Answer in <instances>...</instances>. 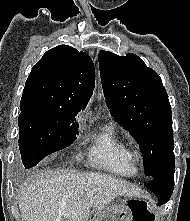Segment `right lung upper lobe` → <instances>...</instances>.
<instances>
[{
	"label": "right lung upper lobe",
	"mask_w": 190,
	"mask_h": 221,
	"mask_svg": "<svg viewBox=\"0 0 190 221\" xmlns=\"http://www.w3.org/2000/svg\"><path fill=\"white\" fill-rule=\"evenodd\" d=\"M95 70L87 53L68 45L47 51L32 68L21 98V111L50 110L78 114L94 89Z\"/></svg>",
	"instance_id": "right-lung-upper-lobe-1"
}]
</instances>
